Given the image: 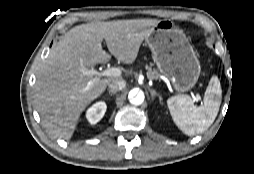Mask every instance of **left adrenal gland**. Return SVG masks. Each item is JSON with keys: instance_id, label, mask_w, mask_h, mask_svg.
<instances>
[{"instance_id": "obj_1", "label": "left adrenal gland", "mask_w": 254, "mask_h": 174, "mask_svg": "<svg viewBox=\"0 0 254 174\" xmlns=\"http://www.w3.org/2000/svg\"><path fill=\"white\" fill-rule=\"evenodd\" d=\"M149 91L151 92V98L154 99L155 97H159L160 100H162V97L160 94H158L154 89H149Z\"/></svg>"}]
</instances>
